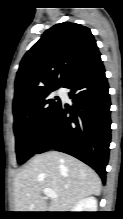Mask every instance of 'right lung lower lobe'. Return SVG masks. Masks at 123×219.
<instances>
[{
	"mask_svg": "<svg viewBox=\"0 0 123 219\" xmlns=\"http://www.w3.org/2000/svg\"><path fill=\"white\" fill-rule=\"evenodd\" d=\"M63 87L70 89L73 106L61 103L36 154L52 148L70 154L92 167L105 183L111 103L101 58L78 71Z\"/></svg>",
	"mask_w": 123,
	"mask_h": 219,
	"instance_id": "obj_1",
	"label": "right lung lower lobe"
}]
</instances>
